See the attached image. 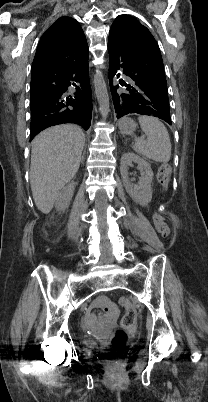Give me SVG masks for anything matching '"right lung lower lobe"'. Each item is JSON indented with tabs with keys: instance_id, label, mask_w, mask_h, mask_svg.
<instances>
[{
	"instance_id": "98d812e1",
	"label": "right lung lower lobe",
	"mask_w": 208,
	"mask_h": 402,
	"mask_svg": "<svg viewBox=\"0 0 208 402\" xmlns=\"http://www.w3.org/2000/svg\"><path fill=\"white\" fill-rule=\"evenodd\" d=\"M88 44L57 63L31 69L30 141L47 127L74 123L85 130L91 124L92 93L89 80ZM75 86L74 96L68 87Z\"/></svg>"
}]
</instances>
